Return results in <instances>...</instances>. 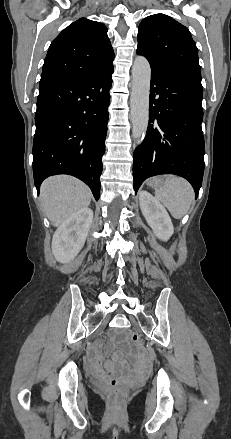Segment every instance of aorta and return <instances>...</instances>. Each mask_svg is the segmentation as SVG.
Listing matches in <instances>:
<instances>
[{"mask_svg":"<svg viewBox=\"0 0 231 439\" xmlns=\"http://www.w3.org/2000/svg\"><path fill=\"white\" fill-rule=\"evenodd\" d=\"M151 67L143 56H137L132 66L130 97L132 135L136 141L145 137L149 121Z\"/></svg>","mask_w":231,"mask_h":439,"instance_id":"aorta-1","label":"aorta"}]
</instances>
